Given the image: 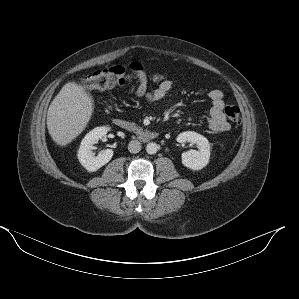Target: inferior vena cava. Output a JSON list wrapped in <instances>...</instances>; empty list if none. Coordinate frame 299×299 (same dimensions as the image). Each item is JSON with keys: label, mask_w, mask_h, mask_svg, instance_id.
<instances>
[{"label": "inferior vena cava", "mask_w": 299, "mask_h": 299, "mask_svg": "<svg viewBox=\"0 0 299 299\" xmlns=\"http://www.w3.org/2000/svg\"><path fill=\"white\" fill-rule=\"evenodd\" d=\"M142 146L138 140H132L128 144V150L131 153H138L141 150Z\"/></svg>", "instance_id": "obj_1"}]
</instances>
